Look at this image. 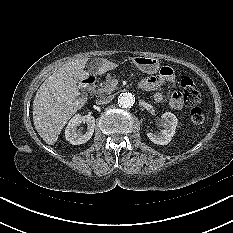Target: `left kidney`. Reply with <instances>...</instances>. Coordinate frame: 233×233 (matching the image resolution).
I'll use <instances>...</instances> for the list:
<instances>
[{
  "label": "left kidney",
  "mask_w": 233,
  "mask_h": 233,
  "mask_svg": "<svg viewBox=\"0 0 233 233\" xmlns=\"http://www.w3.org/2000/svg\"><path fill=\"white\" fill-rule=\"evenodd\" d=\"M161 118L165 129L161 133L147 132V137L155 144L167 145L175 134L178 119L171 112H165Z\"/></svg>",
  "instance_id": "1"
}]
</instances>
